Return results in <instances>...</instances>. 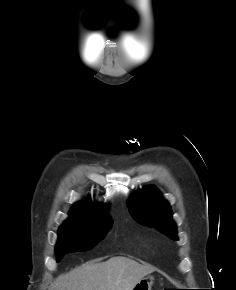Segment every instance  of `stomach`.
Masks as SVG:
<instances>
[{"label":"stomach","instance_id":"0dacf381","mask_svg":"<svg viewBox=\"0 0 236 290\" xmlns=\"http://www.w3.org/2000/svg\"><path fill=\"white\" fill-rule=\"evenodd\" d=\"M154 282L153 276H148L141 279L132 290H151V287Z\"/></svg>","mask_w":236,"mask_h":290}]
</instances>
